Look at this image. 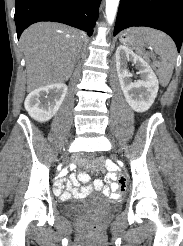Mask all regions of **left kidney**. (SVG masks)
<instances>
[{
	"label": "left kidney",
	"instance_id": "obj_1",
	"mask_svg": "<svg viewBox=\"0 0 183 246\" xmlns=\"http://www.w3.org/2000/svg\"><path fill=\"white\" fill-rule=\"evenodd\" d=\"M116 70L121 89L129 106L136 112H145L154 103L159 89L158 79L147 61L124 45L116 50ZM139 69L141 79L132 82L127 62Z\"/></svg>",
	"mask_w": 183,
	"mask_h": 246
}]
</instances>
